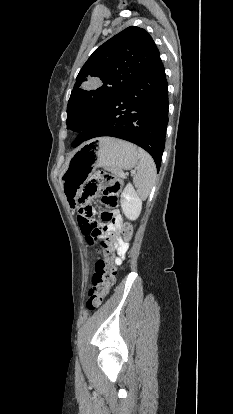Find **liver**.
<instances>
[{"label": "liver", "instance_id": "obj_1", "mask_svg": "<svg viewBox=\"0 0 233 414\" xmlns=\"http://www.w3.org/2000/svg\"><path fill=\"white\" fill-rule=\"evenodd\" d=\"M70 158H71V157H70ZM70 158H69V159H68V161L66 162L65 168H64L63 172H62V173H61V175H60V183H61V184H62V175H63V173L65 172V170H66V168H67V165H68V163H69Z\"/></svg>", "mask_w": 233, "mask_h": 414}]
</instances>
